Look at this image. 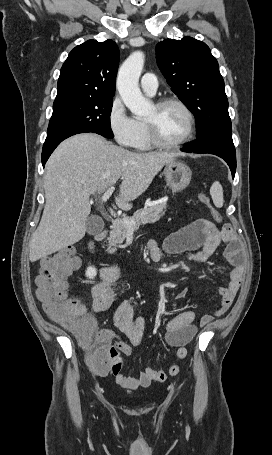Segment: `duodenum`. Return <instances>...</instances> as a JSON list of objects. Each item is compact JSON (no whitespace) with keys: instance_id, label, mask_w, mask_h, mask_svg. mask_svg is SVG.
Returning <instances> with one entry per match:
<instances>
[{"instance_id":"obj_1","label":"duodenum","mask_w":272,"mask_h":455,"mask_svg":"<svg viewBox=\"0 0 272 455\" xmlns=\"http://www.w3.org/2000/svg\"><path fill=\"white\" fill-rule=\"evenodd\" d=\"M108 235V229L104 228L97 232L94 236V239L89 242V249L92 252H96V242L104 240Z\"/></svg>"}]
</instances>
